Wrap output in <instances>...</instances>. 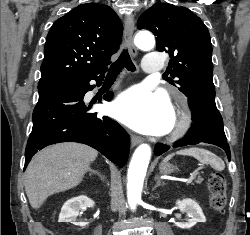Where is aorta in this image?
Listing matches in <instances>:
<instances>
[{
  "mask_svg": "<svg viewBox=\"0 0 250 235\" xmlns=\"http://www.w3.org/2000/svg\"><path fill=\"white\" fill-rule=\"evenodd\" d=\"M135 45L142 50H151L155 45L154 36L148 31H140L134 39ZM151 157L148 144H141L134 152L128 169L127 199L131 209L141 201L143 182Z\"/></svg>",
  "mask_w": 250,
  "mask_h": 235,
  "instance_id": "1",
  "label": "aorta"
}]
</instances>
